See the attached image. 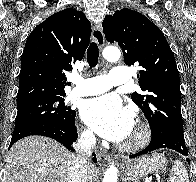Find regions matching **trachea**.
Returning a JSON list of instances; mask_svg holds the SVG:
<instances>
[{
  "instance_id": "trachea-1",
  "label": "trachea",
  "mask_w": 196,
  "mask_h": 182,
  "mask_svg": "<svg viewBox=\"0 0 196 182\" xmlns=\"http://www.w3.org/2000/svg\"><path fill=\"white\" fill-rule=\"evenodd\" d=\"M99 49L97 43L92 42L87 50V61L91 68L98 64Z\"/></svg>"
}]
</instances>
